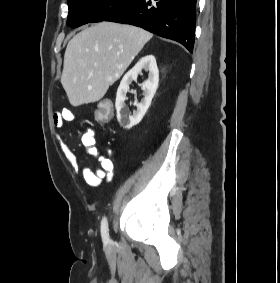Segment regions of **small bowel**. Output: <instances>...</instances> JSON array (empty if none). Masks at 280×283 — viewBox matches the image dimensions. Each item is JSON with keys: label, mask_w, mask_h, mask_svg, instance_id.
<instances>
[{"label": "small bowel", "mask_w": 280, "mask_h": 283, "mask_svg": "<svg viewBox=\"0 0 280 283\" xmlns=\"http://www.w3.org/2000/svg\"><path fill=\"white\" fill-rule=\"evenodd\" d=\"M75 115L69 109H62L56 112L53 116V123L56 127H62L65 122L74 120ZM61 151L68 161L69 165L76 173H81L84 181L91 187L100 186L101 182L105 178H110L114 163L111 158L100 154L96 147L95 132L86 131L81 134L80 141L85 147L87 153L91 156L97 157L100 162L99 168L91 170L89 167H81L75 152L67 145L61 136L57 137Z\"/></svg>", "instance_id": "1"}]
</instances>
